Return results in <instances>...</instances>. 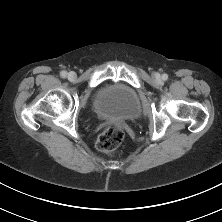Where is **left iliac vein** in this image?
Returning a JSON list of instances; mask_svg holds the SVG:
<instances>
[{
    "instance_id": "4c4485c4",
    "label": "left iliac vein",
    "mask_w": 222,
    "mask_h": 222,
    "mask_svg": "<svg viewBox=\"0 0 222 222\" xmlns=\"http://www.w3.org/2000/svg\"><path fill=\"white\" fill-rule=\"evenodd\" d=\"M160 75L159 74H155V79L157 80V81H159L160 80Z\"/></svg>"
}]
</instances>
